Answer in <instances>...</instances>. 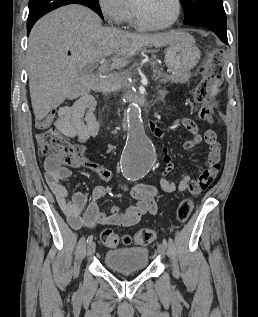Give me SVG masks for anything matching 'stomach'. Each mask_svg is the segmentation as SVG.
Here are the masks:
<instances>
[{"instance_id":"obj_1","label":"stomach","mask_w":258,"mask_h":317,"mask_svg":"<svg viewBox=\"0 0 258 317\" xmlns=\"http://www.w3.org/2000/svg\"><path fill=\"white\" fill-rule=\"evenodd\" d=\"M200 58V50L195 44V38L189 32H182L181 40L168 44L165 48V62L174 74L186 78L189 70L196 66Z\"/></svg>"}]
</instances>
